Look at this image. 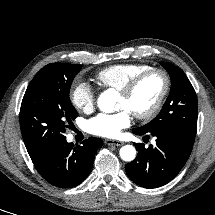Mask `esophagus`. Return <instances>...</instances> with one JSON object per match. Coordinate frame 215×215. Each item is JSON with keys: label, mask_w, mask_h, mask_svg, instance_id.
Here are the masks:
<instances>
[{"label": "esophagus", "mask_w": 215, "mask_h": 215, "mask_svg": "<svg viewBox=\"0 0 215 215\" xmlns=\"http://www.w3.org/2000/svg\"><path fill=\"white\" fill-rule=\"evenodd\" d=\"M105 143L107 145H114V146H122L123 145V142L118 141V140H112V139H106Z\"/></svg>", "instance_id": "obj_1"}]
</instances>
